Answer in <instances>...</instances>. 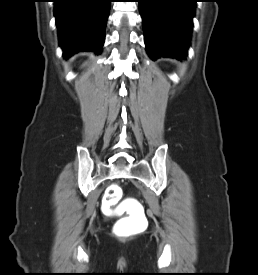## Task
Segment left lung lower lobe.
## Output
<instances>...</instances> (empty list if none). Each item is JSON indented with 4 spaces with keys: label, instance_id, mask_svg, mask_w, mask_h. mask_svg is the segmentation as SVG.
Segmentation results:
<instances>
[{
    "label": "left lung lower lobe",
    "instance_id": "left-lung-lower-lobe-1",
    "mask_svg": "<svg viewBox=\"0 0 258 275\" xmlns=\"http://www.w3.org/2000/svg\"><path fill=\"white\" fill-rule=\"evenodd\" d=\"M197 0H139L144 41L152 59H185Z\"/></svg>",
    "mask_w": 258,
    "mask_h": 275
}]
</instances>
